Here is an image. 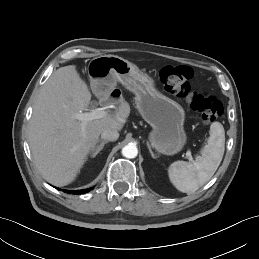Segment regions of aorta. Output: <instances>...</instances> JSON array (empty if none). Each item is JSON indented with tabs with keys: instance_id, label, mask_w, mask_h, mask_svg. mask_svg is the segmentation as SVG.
<instances>
[{
	"instance_id": "762f6f07",
	"label": "aorta",
	"mask_w": 259,
	"mask_h": 259,
	"mask_svg": "<svg viewBox=\"0 0 259 259\" xmlns=\"http://www.w3.org/2000/svg\"><path fill=\"white\" fill-rule=\"evenodd\" d=\"M138 154V149L134 145H126L122 148V155L126 158H135Z\"/></svg>"
}]
</instances>
